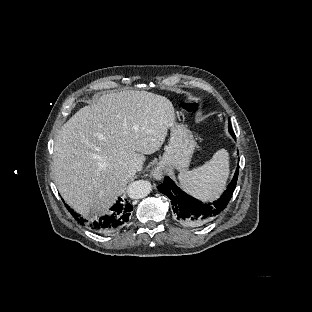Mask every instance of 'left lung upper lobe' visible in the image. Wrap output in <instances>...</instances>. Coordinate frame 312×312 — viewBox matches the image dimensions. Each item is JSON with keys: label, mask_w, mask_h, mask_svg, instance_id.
I'll return each mask as SVG.
<instances>
[{"label": "left lung upper lobe", "mask_w": 312, "mask_h": 312, "mask_svg": "<svg viewBox=\"0 0 312 312\" xmlns=\"http://www.w3.org/2000/svg\"><path fill=\"white\" fill-rule=\"evenodd\" d=\"M229 131H230V133H231L232 136H235V134H234V132H233V130H232V128H231V124H230V123H229Z\"/></svg>", "instance_id": "5c2ea615"}]
</instances>
